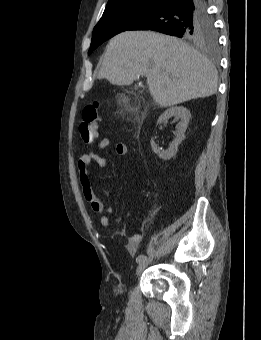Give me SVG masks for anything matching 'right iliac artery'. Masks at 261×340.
<instances>
[{"label":"right iliac artery","mask_w":261,"mask_h":340,"mask_svg":"<svg viewBox=\"0 0 261 340\" xmlns=\"http://www.w3.org/2000/svg\"><path fill=\"white\" fill-rule=\"evenodd\" d=\"M146 259V256L145 255H139L137 258H136V262L137 263H141L142 261H144Z\"/></svg>","instance_id":"1"}]
</instances>
